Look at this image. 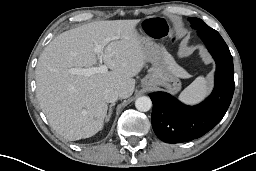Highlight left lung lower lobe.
Returning <instances> with one entry per match:
<instances>
[{"label": "left lung lower lobe", "instance_id": "0a47b994", "mask_svg": "<svg viewBox=\"0 0 256 171\" xmlns=\"http://www.w3.org/2000/svg\"><path fill=\"white\" fill-rule=\"evenodd\" d=\"M216 62L215 87L201 104L187 106L165 92L149 94L153 102L152 127L166 143H181L203 136L225 115L234 93L233 60L217 31L197 29Z\"/></svg>", "mask_w": 256, "mask_h": 171}]
</instances>
